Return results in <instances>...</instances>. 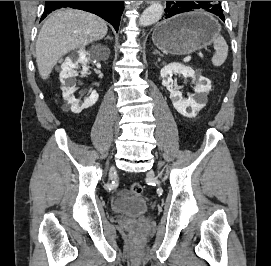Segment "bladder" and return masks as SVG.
Here are the masks:
<instances>
[{
	"label": "bladder",
	"instance_id": "obj_1",
	"mask_svg": "<svg viewBox=\"0 0 271 266\" xmlns=\"http://www.w3.org/2000/svg\"><path fill=\"white\" fill-rule=\"evenodd\" d=\"M149 209L148 203L142 198L128 195L120 196L112 205L114 213L134 219L145 214Z\"/></svg>",
	"mask_w": 271,
	"mask_h": 266
}]
</instances>
